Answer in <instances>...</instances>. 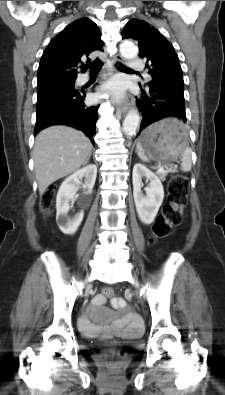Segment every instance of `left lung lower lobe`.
Segmentation results:
<instances>
[{
  "mask_svg": "<svg viewBox=\"0 0 225 395\" xmlns=\"http://www.w3.org/2000/svg\"><path fill=\"white\" fill-rule=\"evenodd\" d=\"M142 100L137 106L142 111L139 133L148 125L165 117L178 118L184 127L186 122L183 89L179 87L150 88L142 91Z\"/></svg>",
  "mask_w": 225,
  "mask_h": 395,
  "instance_id": "left-lung-lower-lobe-1",
  "label": "left lung lower lobe"
}]
</instances>
